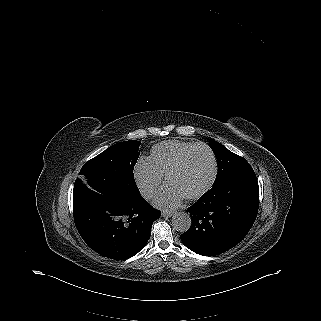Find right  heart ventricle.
Wrapping results in <instances>:
<instances>
[{
  "label": "right heart ventricle",
  "mask_w": 321,
  "mask_h": 321,
  "mask_svg": "<svg viewBox=\"0 0 321 321\" xmlns=\"http://www.w3.org/2000/svg\"><path fill=\"white\" fill-rule=\"evenodd\" d=\"M197 145L192 142L175 139L163 141L152 147L148 159L154 170L161 177L166 176Z\"/></svg>",
  "instance_id": "obj_1"
}]
</instances>
